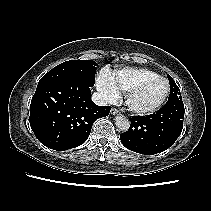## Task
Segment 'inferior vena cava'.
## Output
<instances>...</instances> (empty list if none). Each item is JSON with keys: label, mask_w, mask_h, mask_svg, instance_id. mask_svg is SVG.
<instances>
[{"label": "inferior vena cava", "mask_w": 211, "mask_h": 211, "mask_svg": "<svg viewBox=\"0 0 211 211\" xmlns=\"http://www.w3.org/2000/svg\"><path fill=\"white\" fill-rule=\"evenodd\" d=\"M92 101L99 106H105L108 104V101L104 95L98 92H94L91 96Z\"/></svg>", "instance_id": "obj_1"}]
</instances>
